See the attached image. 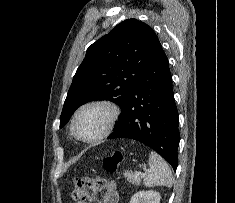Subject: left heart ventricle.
<instances>
[{"label":"left heart ventricle","instance_id":"left-heart-ventricle-1","mask_svg":"<svg viewBox=\"0 0 235 203\" xmlns=\"http://www.w3.org/2000/svg\"><path fill=\"white\" fill-rule=\"evenodd\" d=\"M108 118L109 112L103 107L95 106L87 108L77 118V132L82 138H94L104 130Z\"/></svg>","mask_w":235,"mask_h":203}]
</instances>
